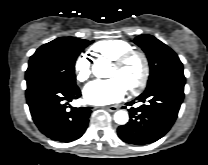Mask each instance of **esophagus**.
Instances as JSON below:
<instances>
[{"label": "esophagus", "instance_id": "1", "mask_svg": "<svg viewBox=\"0 0 208 165\" xmlns=\"http://www.w3.org/2000/svg\"><path fill=\"white\" fill-rule=\"evenodd\" d=\"M103 108L107 109L110 112H115V111L118 110V106H106V107H103Z\"/></svg>", "mask_w": 208, "mask_h": 165}]
</instances>
